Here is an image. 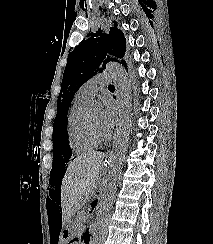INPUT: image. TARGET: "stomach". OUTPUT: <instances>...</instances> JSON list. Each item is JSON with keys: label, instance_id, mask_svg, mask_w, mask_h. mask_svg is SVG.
Here are the masks:
<instances>
[{"label": "stomach", "instance_id": "0dacf381", "mask_svg": "<svg viewBox=\"0 0 213 244\" xmlns=\"http://www.w3.org/2000/svg\"><path fill=\"white\" fill-rule=\"evenodd\" d=\"M62 239H58V244H70V239H75L77 234V226L75 221H67L63 223Z\"/></svg>", "mask_w": 213, "mask_h": 244}]
</instances>
